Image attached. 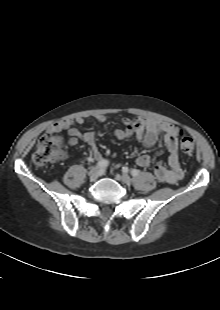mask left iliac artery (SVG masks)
<instances>
[{"instance_id":"left-iliac-artery-1","label":"left iliac artery","mask_w":220,"mask_h":310,"mask_svg":"<svg viewBox=\"0 0 220 310\" xmlns=\"http://www.w3.org/2000/svg\"><path fill=\"white\" fill-rule=\"evenodd\" d=\"M139 174V170H137V169H133L132 171H131V175L132 176H137Z\"/></svg>"}]
</instances>
